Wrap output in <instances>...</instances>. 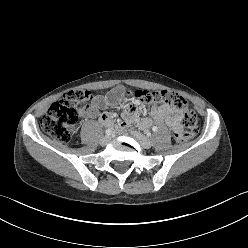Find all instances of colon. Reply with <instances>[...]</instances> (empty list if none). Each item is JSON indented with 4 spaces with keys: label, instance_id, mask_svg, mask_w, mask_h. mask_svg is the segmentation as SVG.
<instances>
[{
    "label": "colon",
    "instance_id": "obj_1",
    "mask_svg": "<svg viewBox=\"0 0 248 248\" xmlns=\"http://www.w3.org/2000/svg\"><path fill=\"white\" fill-rule=\"evenodd\" d=\"M129 101L152 107L157 104H167L183 113L184 129L175 133L177 142H185L199 130L198 118L194 111L188 108L186 100L172 91H135L129 93ZM88 90L75 89L65 93L54 102L41 120L42 129L60 143H67L75 132L79 109L87 108L95 99Z\"/></svg>",
    "mask_w": 248,
    "mask_h": 248
}]
</instances>
